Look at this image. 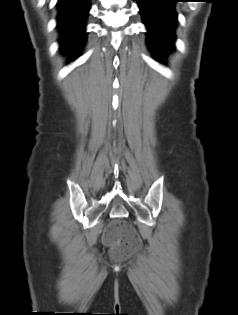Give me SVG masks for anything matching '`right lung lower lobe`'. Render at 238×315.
I'll use <instances>...</instances> for the list:
<instances>
[{"mask_svg":"<svg viewBox=\"0 0 238 315\" xmlns=\"http://www.w3.org/2000/svg\"><path fill=\"white\" fill-rule=\"evenodd\" d=\"M56 6L59 49L71 62L80 55L86 42L90 0H58Z\"/></svg>","mask_w":238,"mask_h":315,"instance_id":"1","label":"right lung lower lobe"}]
</instances>
